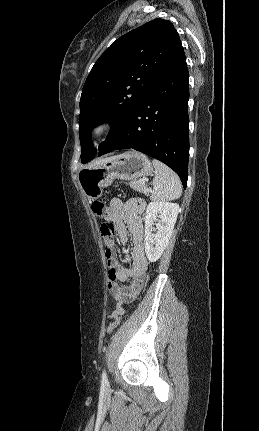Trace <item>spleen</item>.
<instances>
[{"label":"spleen","instance_id":"3e777b00","mask_svg":"<svg viewBox=\"0 0 259 431\" xmlns=\"http://www.w3.org/2000/svg\"><path fill=\"white\" fill-rule=\"evenodd\" d=\"M155 177L152 185L154 192L151 199L154 201H171L180 198L182 184L178 175L164 163L154 159Z\"/></svg>","mask_w":259,"mask_h":431}]
</instances>
